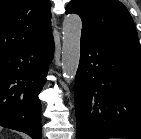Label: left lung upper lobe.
<instances>
[{
	"instance_id": "left-lung-upper-lobe-1",
	"label": "left lung upper lobe",
	"mask_w": 141,
	"mask_h": 139,
	"mask_svg": "<svg viewBox=\"0 0 141 139\" xmlns=\"http://www.w3.org/2000/svg\"><path fill=\"white\" fill-rule=\"evenodd\" d=\"M66 13H76L81 17V36L141 52L134 21L120 1L72 0Z\"/></svg>"
}]
</instances>
